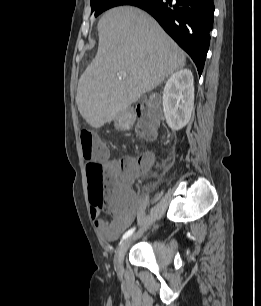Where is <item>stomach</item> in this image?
Wrapping results in <instances>:
<instances>
[{
  "label": "stomach",
  "instance_id": "obj_1",
  "mask_svg": "<svg viewBox=\"0 0 261 306\" xmlns=\"http://www.w3.org/2000/svg\"><path fill=\"white\" fill-rule=\"evenodd\" d=\"M132 124L133 117L129 112H124L117 118V126L121 129H129Z\"/></svg>",
  "mask_w": 261,
  "mask_h": 306
}]
</instances>
